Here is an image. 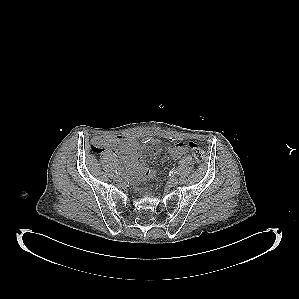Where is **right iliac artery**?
<instances>
[{"label":"right iliac artery","mask_w":299,"mask_h":299,"mask_svg":"<svg viewBox=\"0 0 299 299\" xmlns=\"http://www.w3.org/2000/svg\"><path fill=\"white\" fill-rule=\"evenodd\" d=\"M115 173L118 175V174L121 173V170H120V169H116V170H115Z\"/></svg>","instance_id":"82829eb1"}]
</instances>
